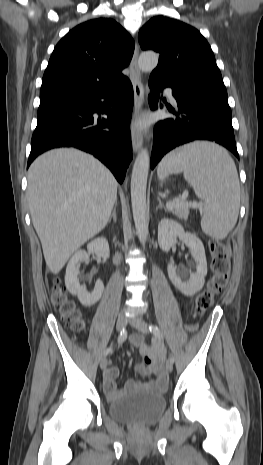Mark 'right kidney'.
<instances>
[{"label": "right kidney", "instance_id": "obj_1", "mask_svg": "<svg viewBox=\"0 0 263 465\" xmlns=\"http://www.w3.org/2000/svg\"><path fill=\"white\" fill-rule=\"evenodd\" d=\"M101 256L104 260L110 256L109 244L106 238L99 237L91 241L85 250L77 251L70 259L65 275V285L68 291L77 295L79 301L84 306L95 304L100 298L104 290V285L101 280H98L92 292H88L85 286L80 285L78 274L81 262L89 259L90 254Z\"/></svg>", "mask_w": 263, "mask_h": 465}]
</instances>
